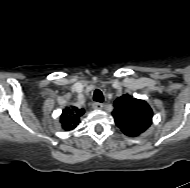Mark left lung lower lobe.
<instances>
[{
  "instance_id": "1",
  "label": "left lung lower lobe",
  "mask_w": 190,
  "mask_h": 188,
  "mask_svg": "<svg viewBox=\"0 0 190 188\" xmlns=\"http://www.w3.org/2000/svg\"><path fill=\"white\" fill-rule=\"evenodd\" d=\"M128 136H132V137H134L135 135H132V134H131V135H128Z\"/></svg>"
}]
</instances>
